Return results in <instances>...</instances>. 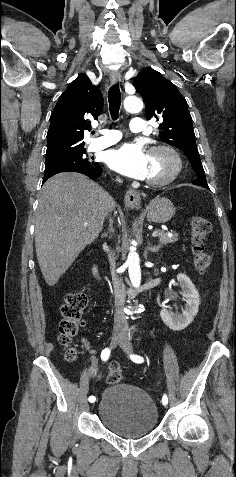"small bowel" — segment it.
<instances>
[{
	"label": "small bowel",
	"mask_w": 236,
	"mask_h": 477,
	"mask_svg": "<svg viewBox=\"0 0 236 477\" xmlns=\"http://www.w3.org/2000/svg\"><path fill=\"white\" fill-rule=\"evenodd\" d=\"M83 345L84 347L91 353V364L88 368V374L91 376V377H94L97 373V369H98V362H97V358L96 356L94 355L91 347H90V344L88 341L84 340L83 341Z\"/></svg>",
	"instance_id": "1"
}]
</instances>
